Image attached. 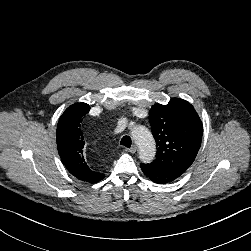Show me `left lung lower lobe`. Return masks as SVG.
<instances>
[{
    "mask_svg": "<svg viewBox=\"0 0 251 251\" xmlns=\"http://www.w3.org/2000/svg\"><path fill=\"white\" fill-rule=\"evenodd\" d=\"M140 166L144 174L158 184L171 182L182 175L177 172L153 167L150 164H141Z\"/></svg>",
    "mask_w": 251,
    "mask_h": 251,
    "instance_id": "0a47b994",
    "label": "left lung lower lobe"
}]
</instances>
